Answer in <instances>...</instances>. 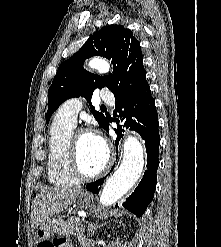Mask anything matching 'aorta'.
<instances>
[{"label": "aorta", "instance_id": "1", "mask_svg": "<svg viewBox=\"0 0 221 247\" xmlns=\"http://www.w3.org/2000/svg\"><path fill=\"white\" fill-rule=\"evenodd\" d=\"M89 65L99 73H107L110 69L108 61L102 58L92 59ZM123 149L122 162L100 195V203L104 206L114 205L135 185L142 174L144 149L140 140L134 135H128L124 140Z\"/></svg>", "mask_w": 221, "mask_h": 247}]
</instances>
